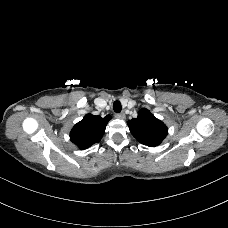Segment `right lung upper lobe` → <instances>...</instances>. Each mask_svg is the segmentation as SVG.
Returning a JSON list of instances; mask_svg holds the SVG:
<instances>
[{"instance_id": "obj_1", "label": "right lung upper lobe", "mask_w": 228, "mask_h": 228, "mask_svg": "<svg viewBox=\"0 0 228 228\" xmlns=\"http://www.w3.org/2000/svg\"><path fill=\"white\" fill-rule=\"evenodd\" d=\"M110 119V115L102 118L101 116L86 114L84 118L72 128L70 132L71 141L80 149H86L98 143L103 137L106 125Z\"/></svg>"}]
</instances>
